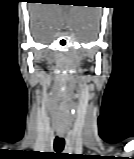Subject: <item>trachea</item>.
Listing matches in <instances>:
<instances>
[{"mask_svg":"<svg viewBox=\"0 0 134 159\" xmlns=\"http://www.w3.org/2000/svg\"><path fill=\"white\" fill-rule=\"evenodd\" d=\"M65 146V140L63 137L56 136L54 140V149L57 153H60Z\"/></svg>","mask_w":134,"mask_h":159,"instance_id":"3493384b","label":"trachea"}]
</instances>
